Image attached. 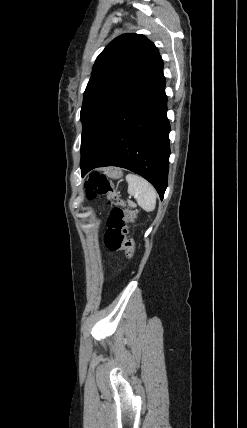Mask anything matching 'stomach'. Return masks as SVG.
<instances>
[{
	"label": "stomach",
	"mask_w": 247,
	"mask_h": 428,
	"mask_svg": "<svg viewBox=\"0 0 247 428\" xmlns=\"http://www.w3.org/2000/svg\"><path fill=\"white\" fill-rule=\"evenodd\" d=\"M106 175L110 178L117 179L122 176V172L117 168H110L106 171Z\"/></svg>",
	"instance_id": "stomach-1"
}]
</instances>
